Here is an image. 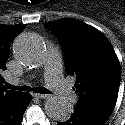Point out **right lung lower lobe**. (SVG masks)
I'll list each match as a JSON object with an SVG mask.
<instances>
[{
	"label": "right lung lower lobe",
	"mask_w": 125,
	"mask_h": 125,
	"mask_svg": "<svg viewBox=\"0 0 125 125\" xmlns=\"http://www.w3.org/2000/svg\"><path fill=\"white\" fill-rule=\"evenodd\" d=\"M29 93L17 95L0 103V125H20L23 114L31 102Z\"/></svg>",
	"instance_id": "1"
}]
</instances>
